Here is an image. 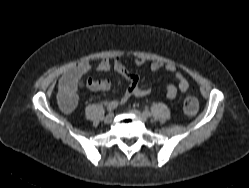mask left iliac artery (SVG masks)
<instances>
[{"mask_svg": "<svg viewBox=\"0 0 249 188\" xmlns=\"http://www.w3.org/2000/svg\"><path fill=\"white\" fill-rule=\"evenodd\" d=\"M143 113H144L147 117L151 116V113H150V111H149L148 109H145V110L143 111Z\"/></svg>", "mask_w": 249, "mask_h": 188, "instance_id": "left-iliac-artery-1", "label": "left iliac artery"}]
</instances>
